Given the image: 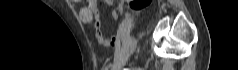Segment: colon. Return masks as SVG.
I'll use <instances>...</instances> for the list:
<instances>
[{
    "mask_svg": "<svg viewBox=\"0 0 238 70\" xmlns=\"http://www.w3.org/2000/svg\"><path fill=\"white\" fill-rule=\"evenodd\" d=\"M74 1H79V0H74ZM145 4H146L145 0H138L137 2H135L134 8L139 9L142 6H144Z\"/></svg>",
    "mask_w": 238,
    "mask_h": 70,
    "instance_id": "1",
    "label": "colon"
}]
</instances>
